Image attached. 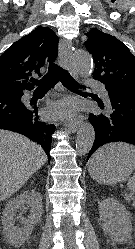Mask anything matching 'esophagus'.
<instances>
[{
  "instance_id": "1",
  "label": "esophagus",
  "mask_w": 135,
  "mask_h": 249,
  "mask_svg": "<svg viewBox=\"0 0 135 249\" xmlns=\"http://www.w3.org/2000/svg\"><path fill=\"white\" fill-rule=\"evenodd\" d=\"M68 46V41L61 39L60 40V46H59V58L60 62L64 67L69 71L70 75L74 78H77V71L74 67V64L72 62V55L70 50L67 48ZM81 124L80 119H75V120H69L67 123H65V128L72 132L75 133Z\"/></svg>"
}]
</instances>
